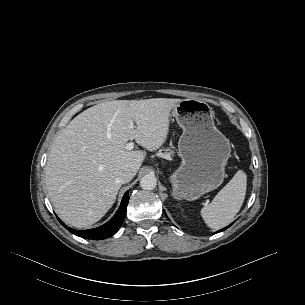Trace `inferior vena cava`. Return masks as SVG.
<instances>
[{
  "mask_svg": "<svg viewBox=\"0 0 305 305\" xmlns=\"http://www.w3.org/2000/svg\"><path fill=\"white\" fill-rule=\"evenodd\" d=\"M135 174L136 173L131 169H123V170L119 171L117 180L121 184H126V183H129L133 179Z\"/></svg>",
  "mask_w": 305,
  "mask_h": 305,
  "instance_id": "inferior-vena-cava-1",
  "label": "inferior vena cava"
}]
</instances>
